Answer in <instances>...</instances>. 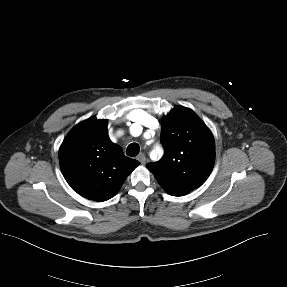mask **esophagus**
<instances>
[{
	"label": "esophagus",
	"instance_id": "1",
	"mask_svg": "<svg viewBox=\"0 0 287 287\" xmlns=\"http://www.w3.org/2000/svg\"><path fill=\"white\" fill-rule=\"evenodd\" d=\"M138 161L142 164V165H145L146 164V157L144 154H140L138 156Z\"/></svg>",
	"mask_w": 287,
	"mask_h": 287
}]
</instances>
